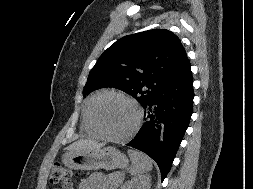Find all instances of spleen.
I'll return each mask as SVG.
<instances>
[{"instance_id": "1", "label": "spleen", "mask_w": 253, "mask_h": 189, "mask_svg": "<svg viewBox=\"0 0 253 189\" xmlns=\"http://www.w3.org/2000/svg\"><path fill=\"white\" fill-rule=\"evenodd\" d=\"M128 154L132 162L131 175L140 176L152 170V160L149 156L136 150H128Z\"/></svg>"}]
</instances>
